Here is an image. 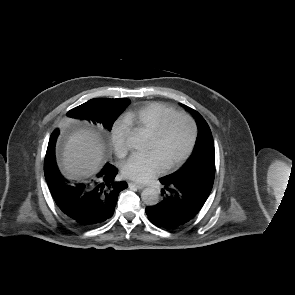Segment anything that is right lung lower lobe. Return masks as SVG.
I'll list each match as a JSON object with an SVG mask.
<instances>
[{"mask_svg": "<svg viewBox=\"0 0 295 295\" xmlns=\"http://www.w3.org/2000/svg\"><path fill=\"white\" fill-rule=\"evenodd\" d=\"M55 130L50 137L46 158L55 156L58 137ZM117 169L106 163L96 178L87 183H72L59 173L46 179L50 192L61 211L73 224L90 228L112 217L119 193L128 187L125 181L115 179Z\"/></svg>", "mask_w": 295, "mask_h": 295, "instance_id": "obj_1", "label": "right lung lower lobe"}]
</instances>
